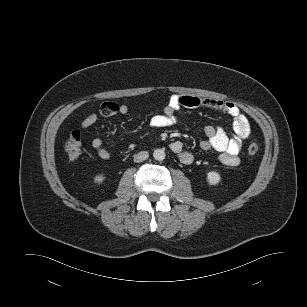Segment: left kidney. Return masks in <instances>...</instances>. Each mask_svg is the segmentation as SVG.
I'll list each match as a JSON object with an SVG mask.
<instances>
[{
	"mask_svg": "<svg viewBox=\"0 0 307 307\" xmlns=\"http://www.w3.org/2000/svg\"><path fill=\"white\" fill-rule=\"evenodd\" d=\"M221 176L215 171L207 173V181L210 185H216L220 182Z\"/></svg>",
	"mask_w": 307,
	"mask_h": 307,
	"instance_id": "1",
	"label": "left kidney"
}]
</instances>
